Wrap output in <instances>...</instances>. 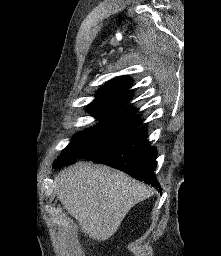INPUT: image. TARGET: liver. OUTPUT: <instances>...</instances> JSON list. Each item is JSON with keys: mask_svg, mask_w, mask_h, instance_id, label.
<instances>
[{"mask_svg": "<svg viewBox=\"0 0 221 256\" xmlns=\"http://www.w3.org/2000/svg\"><path fill=\"white\" fill-rule=\"evenodd\" d=\"M57 196L85 235L109 239L128 211L153 190L105 165L79 162L55 177Z\"/></svg>", "mask_w": 221, "mask_h": 256, "instance_id": "liver-1", "label": "liver"}]
</instances>
